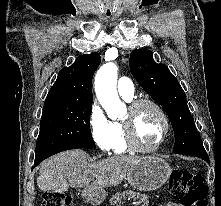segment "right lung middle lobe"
I'll return each mask as SVG.
<instances>
[{"label":"right lung middle lobe","mask_w":221,"mask_h":206,"mask_svg":"<svg viewBox=\"0 0 221 206\" xmlns=\"http://www.w3.org/2000/svg\"><path fill=\"white\" fill-rule=\"evenodd\" d=\"M91 106L43 109L35 160L76 148H96L89 120Z\"/></svg>","instance_id":"right-lung-middle-lobe-1"}]
</instances>
